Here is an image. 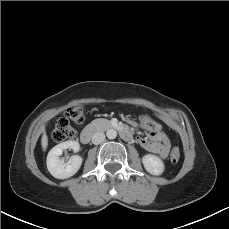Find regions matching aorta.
<instances>
[{"mask_svg": "<svg viewBox=\"0 0 229 229\" xmlns=\"http://www.w3.org/2000/svg\"><path fill=\"white\" fill-rule=\"evenodd\" d=\"M108 139H115L117 137V131L114 129H109L106 132Z\"/></svg>", "mask_w": 229, "mask_h": 229, "instance_id": "aorta-1", "label": "aorta"}]
</instances>
